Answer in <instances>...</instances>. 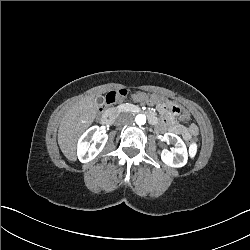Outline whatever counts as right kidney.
I'll use <instances>...</instances> for the list:
<instances>
[{
  "label": "right kidney",
  "instance_id": "1",
  "mask_svg": "<svg viewBox=\"0 0 250 250\" xmlns=\"http://www.w3.org/2000/svg\"><path fill=\"white\" fill-rule=\"evenodd\" d=\"M89 140L93 141L91 145ZM107 140L108 135L102 134L98 126L89 128L78 140L77 156L79 161L88 163L93 160L103 150Z\"/></svg>",
  "mask_w": 250,
  "mask_h": 250
}]
</instances>
